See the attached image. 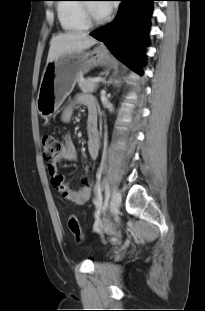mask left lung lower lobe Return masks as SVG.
Returning a JSON list of instances; mask_svg holds the SVG:
<instances>
[{"mask_svg": "<svg viewBox=\"0 0 205 311\" xmlns=\"http://www.w3.org/2000/svg\"><path fill=\"white\" fill-rule=\"evenodd\" d=\"M130 1L129 6L120 5L114 21L90 34L103 41L108 49L123 63L142 75L143 48L147 44L151 2L155 0Z\"/></svg>", "mask_w": 205, "mask_h": 311, "instance_id": "0a47b994", "label": "left lung lower lobe"}]
</instances>
